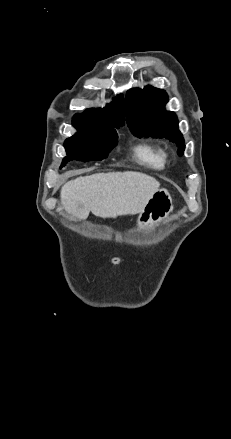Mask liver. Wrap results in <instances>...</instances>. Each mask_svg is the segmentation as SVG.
Masks as SVG:
<instances>
[{"mask_svg":"<svg viewBox=\"0 0 231 439\" xmlns=\"http://www.w3.org/2000/svg\"><path fill=\"white\" fill-rule=\"evenodd\" d=\"M160 183L135 171L97 173L64 184L61 205L73 218L85 220L92 212L101 218L141 213Z\"/></svg>","mask_w":231,"mask_h":439,"instance_id":"liver-1","label":"liver"}]
</instances>
